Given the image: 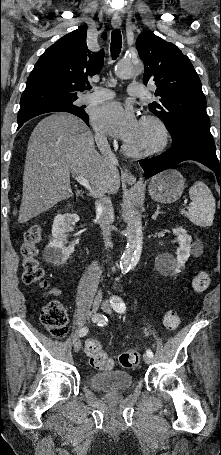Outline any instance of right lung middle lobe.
Returning <instances> with one entry per match:
<instances>
[{
  "mask_svg": "<svg viewBox=\"0 0 221 455\" xmlns=\"http://www.w3.org/2000/svg\"><path fill=\"white\" fill-rule=\"evenodd\" d=\"M77 98H71L67 100H62L57 103L51 104L46 107H40V108H32V109H20L18 113V118L32 113V112H39V111H46V112H69L72 113L82 119H85L88 117V115L85 113V111L74 105V101Z\"/></svg>",
  "mask_w": 221,
  "mask_h": 455,
  "instance_id": "1",
  "label": "right lung middle lobe"
}]
</instances>
